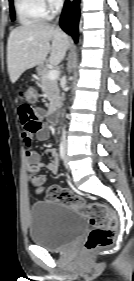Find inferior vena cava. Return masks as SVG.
Returning <instances> with one entry per match:
<instances>
[{"mask_svg": "<svg viewBox=\"0 0 134 281\" xmlns=\"http://www.w3.org/2000/svg\"><path fill=\"white\" fill-rule=\"evenodd\" d=\"M56 8L57 9H60L61 8V6H62V0H57L56 1ZM65 131H63V134H62V140H63V142L65 143Z\"/></svg>", "mask_w": 134, "mask_h": 281, "instance_id": "obj_1", "label": "inferior vena cava"}]
</instances>
